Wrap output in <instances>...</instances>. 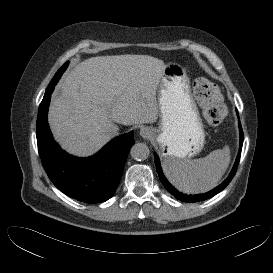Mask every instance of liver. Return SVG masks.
<instances>
[{"instance_id":"1","label":"liver","mask_w":273,"mask_h":273,"mask_svg":"<svg viewBox=\"0 0 273 273\" xmlns=\"http://www.w3.org/2000/svg\"><path fill=\"white\" fill-rule=\"evenodd\" d=\"M148 55L88 58L61 81L48 113L52 133L63 149L87 157L98 152L122 125L154 123L156 90L165 70Z\"/></svg>"}]
</instances>
